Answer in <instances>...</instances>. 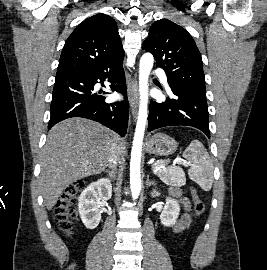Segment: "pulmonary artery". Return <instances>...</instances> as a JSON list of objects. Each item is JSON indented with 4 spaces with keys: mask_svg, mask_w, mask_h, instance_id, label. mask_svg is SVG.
I'll return each mask as SVG.
<instances>
[{
    "mask_svg": "<svg viewBox=\"0 0 267 270\" xmlns=\"http://www.w3.org/2000/svg\"><path fill=\"white\" fill-rule=\"evenodd\" d=\"M157 73L160 75V77H161V80H162V82L164 83V85L166 86V87H168V81H167V77H166V75H165V73L163 72V71H157Z\"/></svg>",
    "mask_w": 267,
    "mask_h": 270,
    "instance_id": "pulmonary-artery-1",
    "label": "pulmonary artery"
}]
</instances>
